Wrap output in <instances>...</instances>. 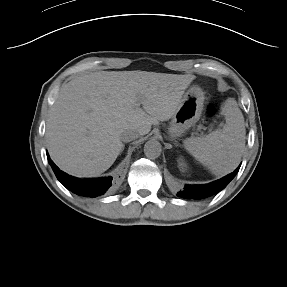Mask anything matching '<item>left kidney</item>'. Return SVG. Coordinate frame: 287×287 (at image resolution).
<instances>
[{"instance_id": "1", "label": "left kidney", "mask_w": 287, "mask_h": 287, "mask_svg": "<svg viewBox=\"0 0 287 287\" xmlns=\"http://www.w3.org/2000/svg\"><path fill=\"white\" fill-rule=\"evenodd\" d=\"M179 166H181L182 168L186 167V164H185V162L182 159L179 160Z\"/></svg>"}]
</instances>
